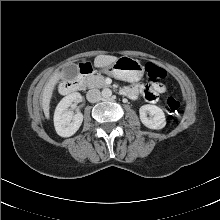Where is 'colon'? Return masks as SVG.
Wrapping results in <instances>:
<instances>
[{
  "label": "colon",
  "instance_id": "obj_1",
  "mask_svg": "<svg viewBox=\"0 0 220 220\" xmlns=\"http://www.w3.org/2000/svg\"><path fill=\"white\" fill-rule=\"evenodd\" d=\"M145 71L147 77L152 82L151 85L159 84V81L164 79L166 72L161 67L155 65L154 63L148 62L145 65ZM180 112V102L174 97H169L166 100V113L171 120L175 119Z\"/></svg>",
  "mask_w": 220,
  "mask_h": 220
}]
</instances>
